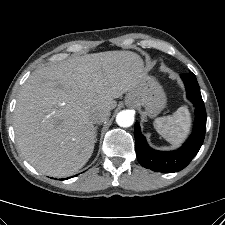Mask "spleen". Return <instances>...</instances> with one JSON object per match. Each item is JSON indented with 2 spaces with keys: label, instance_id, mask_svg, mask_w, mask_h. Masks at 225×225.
I'll return each mask as SVG.
<instances>
[{
  "label": "spleen",
  "instance_id": "spleen-1",
  "mask_svg": "<svg viewBox=\"0 0 225 225\" xmlns=\"http://www.w3.org/2000/svg\"><path fill=\"white\" fill-rule=\"evenodd\" d=\"M191 125V117L186 106L177 109L172 115L155 119L156 131L173 145L180 144L187 136Z\"/></svg>",
  "mask_w": 225,
  "mask_h": 225
}]
</instances>
